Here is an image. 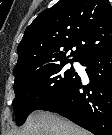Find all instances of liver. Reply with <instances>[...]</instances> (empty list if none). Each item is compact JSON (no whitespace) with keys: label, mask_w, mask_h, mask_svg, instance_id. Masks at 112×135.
<instances>
[{"label":"liver","mask_w":112,"mask_h":135,"mask_svg":"<svg viewBox=\"0 0 112 135\" xmlns=\"http://www.w3.org/2000/svg\"><path fill=\"white\" fill-rule=\"evenodd\" d=\"M17 135H90L89 132L56 114L35 111Z\"/></svg>","instance_id":"liver-1"}]
</instances>
